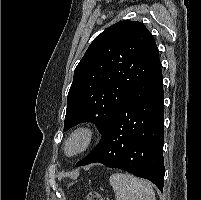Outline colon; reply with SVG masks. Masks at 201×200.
I'll return each instance as SVG.
<instances>
[{
    "label": "colon",
    "mask_w": 201,
    "mask_h": 200,
    "mask_svg": "<svg viewBox=\"0 0 201 200\" xmlns=\"http://www.w3.org/2000/svg\"><path fill=\"white\" fill-rule=\"evenodd\" d=\"M86 200H104V199L98 192L90 191L86 194Z\"/></svg>",
    "instance_id": "5ec220e1"
}]
</instances>
